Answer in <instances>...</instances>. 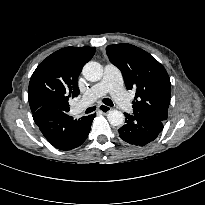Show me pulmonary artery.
Returning <instances> with one entry per match:
<instances>
[{
    "label": "pulmonary artery",
    "mask_w": 205,
    "mask_h": 205,
    "mask_svg": "<svg viewBox=\"0 0 205 205\" xmlns=\"http://www.w3.org/2000/svg\"><path fill=\"white\" fill-rule=\"evenodd\" d=\"M108 92L122 111L132 112V104L123 87L122 75L118 68L111 64L105 66L102 80L84 94L82 101L84 104H90Z\"/></svg>",
    "instance_id": "pulmonary-artery-1"
}]
</instances>
